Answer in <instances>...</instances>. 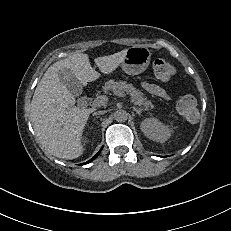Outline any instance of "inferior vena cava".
<instances>
[{
  "label": "inferior vena cava",
  "instance_id": "obj_1",
  "mask_svg": "<svg viewBox=\"0 0 231 231\" xmlns=\"http://www.w3.org/2000/svg\"><path fill=\"white\" fill-rule=\"evenodd\" d=\"M105 111H96L93 113V115H101V114H104Z\"/></svg>",
  "mask_w": 231,
  "mask_h": 231
}]
</instances>
